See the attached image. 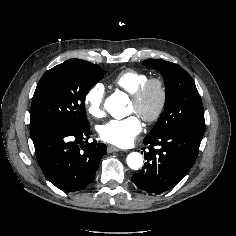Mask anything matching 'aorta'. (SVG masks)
I'll return each instance as SVG.
<instances>
[{"instance_id":"762f6f07","label":"aorta","mask_w":236,"mask_h":236,"mask_svg":"<svg viewBox=\"0 0 236 236\" xmlns=\"http://www.w3.org/2000/svg\"><path fill=\"white\" fill-rule=\"evenodd\" d=\"M128 97L122 92H115L105 101V109L114 118H121L123 110L127 104ZM127 165L133 170H138L143 165L142 155L138 152H132L127 156Z\"/></svg>"}]
</instances>
